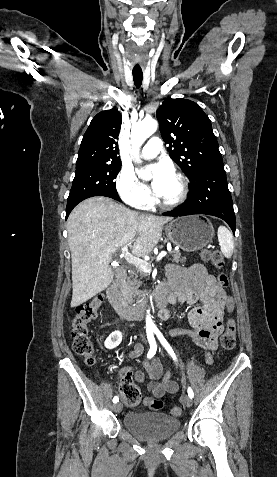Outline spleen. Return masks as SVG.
I'll use <instances>...</instances> for the list:
<instances>
[{
  "mask_svg": "<svg viewBox=\"0 0 277 477\" xmlns=\"http://www.w3.org/2000/svg\"><path fill=\"white\" fill-rule=\"evenodd\" d=\"M218 240L222 254L226 258H231L234 249L233 236L224 226L218 228Z\"/></svg>",
  "mask_w": 277,
  "mask_h": 477,
  "instance_id": "3e777b00",
  "label": "spleen"
}]
</instances>
